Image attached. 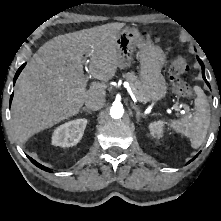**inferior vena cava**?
I'll use <instances>...</instances> for the list:
<instances>
[{
  "label": "inferior vena cava",
  "instance_id": "1",
  "mask_svg": "<svg viewBox=\"0 0 221 221\" xmlns=\"http://www.w3.org/2000/svg\"><path fill=\"white\" fill-rule=\"evenodd\" d=\"M105 104V97L101 96H92L88 98L85 102V105L88 109L97 111L100 110Z\"/></svg>",
  "mask_w": 221,
  "mask_h": 221
}]
</instances>
